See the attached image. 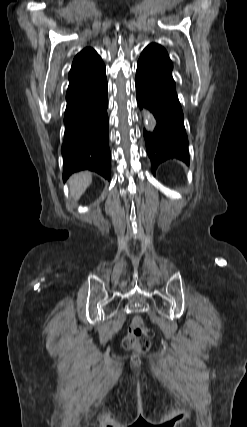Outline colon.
Instances as JSON below:
<instances>
[{
    "instance_id": "colon-1",
    "label": "colon",
    "mask_w": 247,
    "mask_h": 427,
    "mask_svg": "<svg viewBox=\"0 0 247 427\" xmlns=\"http://www.w3.org/2000/svg\"><path fill=\"white\" fill-rule=\"evenodd\" d=\"M141 335H144L146 338H141ZM153 335V331L145 327L143 320L140 317H136L129 327L128 334L123 339V347L143 353L147 352L150 348L149 339Z\"/></svg>"
}]
</instances>
